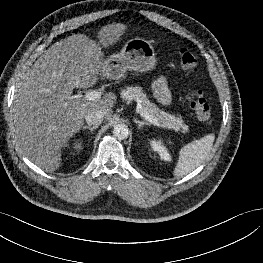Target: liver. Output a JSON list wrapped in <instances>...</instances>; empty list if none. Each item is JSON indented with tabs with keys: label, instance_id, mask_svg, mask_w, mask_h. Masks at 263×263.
Wrapping results in <instances>:
<instances>
[{
	"label": "liver",
	"instance_id": "1",
	"mask_svg": "<svg viewBox=\"0 0 263 263\" xmlns=\"http://www.w3.org/2000/svg\"><path fill=\"white\" fill-rule=\"evenodd\" d=\"M126 25L109 24L98 32L103 47L115 44ZM101 48L86 35L74 34L45 51L18 84L11 109V128L17 148L36 166L53 172L61 166V151L98 109L112 116L116 95L96 101L72 99L74 88L92 87L109 78Z\"/></svg>",
	"mask_w": 263,
	"mask_h": 263
}]
</instances>
